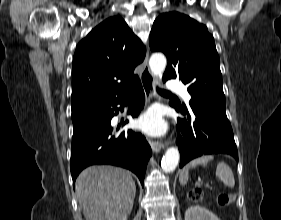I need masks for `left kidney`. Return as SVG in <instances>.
Listing matches in <instances>:
<instances>
[{
  "mask_svg": "<svg viewBox=\"0 0 281 220\" xmlns=\"http://www.w3.org/2000/svg\"><path fill=\"white\" fill-rule=\"evenodd\" d=\"M185 220H220L214 213L202 206H191L185 212Z\"/></svg>",
  "mask_w": 281,
  "mask_h": 220,
  "instance_id": "obj_1",
  "label": "left kidney"
}]
</instances>
